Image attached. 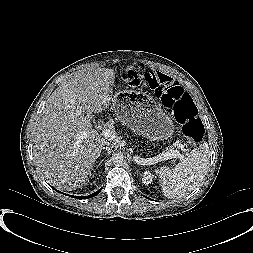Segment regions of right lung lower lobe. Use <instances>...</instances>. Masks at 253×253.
Wrapping results in <instances>:
<instances>
[{
  "mask_svg": "<svg viewBox=\"0 0 253 253\" xmlns=\"http://www.w3.org/2000/svg\"><path fill=\"white\" fill-rule=\"evenodd\" d=\"M100 191H101V189L98 190V191H96V192H94V193L91 194V195H88V196H85V197L74 196V198H78V199H87V198H91V197L96 196Z\"/></svg>",
  "mask_w": 253,
  "mask_h": 253,
  "instance_id": "98d812e1",
  "label": "right lung lower lobe"
}]
</instances>
